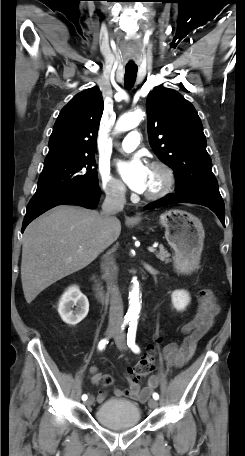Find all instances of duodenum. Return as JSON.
I'll return each instance as SVG.
<instances>
[{
    "instance_id": "obj_1",
    "label": "duodenum",
    "mask_w": 245,
    "mask_h": 456,
    "mask_svg": "<svg viewBox=\"0 0 245 456\" xmlns=\"http://www.w3.org/2000/svg\"><path fill=\"white\" fill-rule=\"evenodd\" d=\"M92 281L96 295L103 300H109L110 294L108 292H105L99 280L95 277H92Z\"/></svg>"
}]
</instances>
